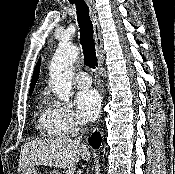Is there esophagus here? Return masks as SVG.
<instances>
[{
    "label": "esophagus",
    "mask_w": 175,
    "mask_h": 174,
    "mask_svg": "<svg viewBox=\"0 0 175 174\" xmlns=\"http://www.w3.org/2000/svg\"><path fill=\"white\" fill-rule=\"evenodd\" d=\"M90 9L93 27H94V41L96 47V53L98 58V65L101 68L104 60L103 39L101 36L100 25L97 18V11L93 0H86Z\"/></svg>",
    "instance_id": "34e87169"
}]
</instances>
